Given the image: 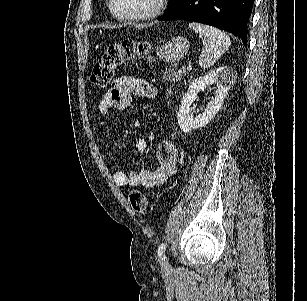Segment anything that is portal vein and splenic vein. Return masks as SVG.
I'll use <instances>...</instances> for the list:
<instances>
[{
  "instance_id": "portal-vein-and-splenic-vein-1",
  "label": "portal vein and splenic vein",
  "mask_w": 307,
  "mask_h": 301,
  "mask_svg": "<svg viewBox=\"0 0 307 301\" xmlns=\"http://www.w3.org/2000/svg\"><path fill=\"white\" fill-rule=\"evenodd\" d=\"M189 70H191V68H189ZM180 72H186V66H182Z\"/></svg>"
}]
</instances>
